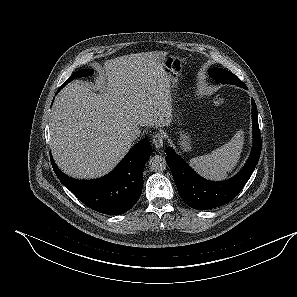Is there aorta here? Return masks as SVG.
<instances>
[{
  "label": "aorta",
  "instance_id": "762f6f07",
  "mask_svg": "<svg viewBox=\"0 0 297 297\" xmlns=\"http://www.w3.org/2000/svg\"><path fill=\"white\" fill-rule=\"evenodd\" d=\"M151 171L160 172L166 169V161L162 156L154 155L148 161Z\"/></svg>",
  "mask_w": 297,
  "mask_h": 297
}]
</instances>
